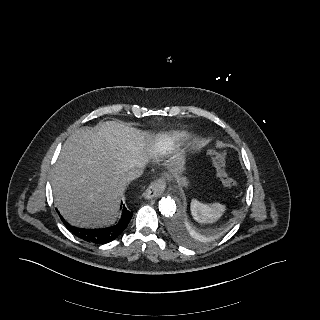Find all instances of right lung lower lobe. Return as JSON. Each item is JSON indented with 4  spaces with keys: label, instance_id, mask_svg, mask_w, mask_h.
I'll list each match as a JSON object with an SVG mask.
<instances>
[{
    "label": "right lung lower lobe",
    "instance_id": "1",
    "mask_svg": "<svg viewBox=\"0 0 320 320\" xmlns=\"http://www.w3.org/2000/svg\"><path fill=\"white\" fill-rule=\"evenodd\" d=\"M132 215H133V212L128 211L126 207L123 205V213L120 221L116 225H113L109 228H104V229L77 228L70 225L62 217H61V220L63 221L65 226L68 228V230L72 232L74 235H76L77 237L95 244H105L116 239L125 230V228L127 227V225L129 224L132 218Z\"/></svg>",
    "mask_w": 320,
    "mask_h": 320
}]
</instances>
